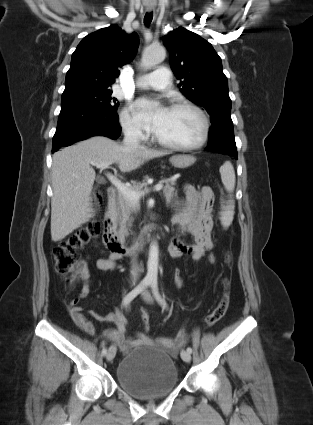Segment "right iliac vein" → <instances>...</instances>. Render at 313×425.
<instances>
[{"label":"right iliac vein","instance_id":"obj_1","mask_svg":"<svg viewBox=\"0 0 313 425\" xmlns=\"http://www.w3.org/2000/svg\"><path fill=\"white\" fill-rule=\"evenodd\" d=\"M115 354H116V347L114 345H112V346H110L108 353L106 355L107 361L113 360V358L115 357Z\"/></svg>","mask_w":313,"mask_h":425}]
</instances>
